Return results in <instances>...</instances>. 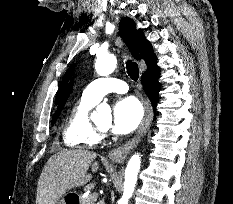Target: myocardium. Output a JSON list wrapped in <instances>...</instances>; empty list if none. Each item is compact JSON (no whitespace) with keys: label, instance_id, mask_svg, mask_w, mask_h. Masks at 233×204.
Here are the masks:
<instances>
[{"label":"myocardium","instance_id":"obj_1","mask_svg":"<svg viewBox=\"0 0 233 204\" xmlns=\"http://www.w3.org/2000/svg\"><path fill=\"white\" fill-rule=\"evenodd\" d=\"M94 126H95V129L97 130V132L99 134H103V133H105L107 131V129H102L98 125H94Z\"/></svg>","mask_w":233,"mask_h":204}]
</instances>
